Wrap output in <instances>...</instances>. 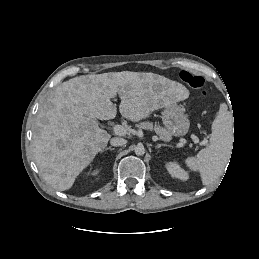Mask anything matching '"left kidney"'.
Listing matches in <instances>:
<instances>
[{"instance_id": "obj_1", "label": "left kidney", "mask_w": 259, "mask_h": 259, "mask_svg": "<svg viewBox=\"0 0 259 259\" xmlns=\"http://www.w3.org/2000/svg\"><path fill=\"white\" fill-rule=\"evenodd\" d=\"M166 169L172 177L184 181L188 180L189 178L188 173L184 169H182L180 165L175 161L166 163Z\"/></svg>"}]
</instances>
